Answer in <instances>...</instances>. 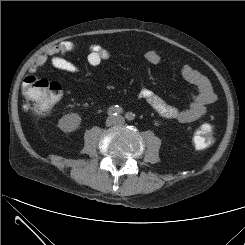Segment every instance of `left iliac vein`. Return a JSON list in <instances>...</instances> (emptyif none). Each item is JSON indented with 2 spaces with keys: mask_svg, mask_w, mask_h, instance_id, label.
<instances>
[{
  "mask_svg": "<svg viewBox=\"0 0 245 245\" xmlns=\"http://www.w3.org/2000/svg\"><path fill=\"white\" fill-rule=\"evenodd\" d=\"M122 120H121V118H119V122H121Z\"/></svg>",
  "mask_w": 245,
  "mask_h": 245,
  "instance_id": "left-iliac-vein-1",
  "label": "left iliac vein"
}]
</instances>
